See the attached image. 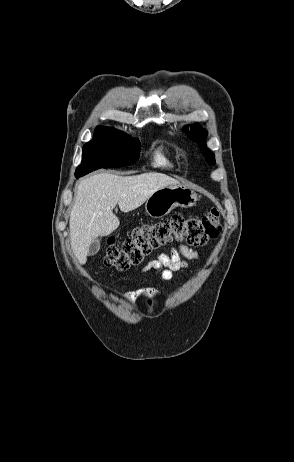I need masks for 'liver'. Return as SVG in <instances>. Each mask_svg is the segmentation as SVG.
Masks as SVG:
<instances>
[{
	"label": "liver",
	"mask_w": 294,
	"mask_h": 462,
	"mask_svg": "<svg viewBox=\"0 0 294 462\" xmlns=\"http://www.w3.org/2000/svg\"><path fill=\"white\" fill-rule=\"evenodd\" d=\"M168 185L179 182L162 173L126 177L98 173L81 180L69 221L71 247L79 262L86 263L88 248L95 239L118 228L120 221L113 213L117 204L127 213Z\"/></svg>",
	"instance_id": "6515ba94"
}]
</instances>
